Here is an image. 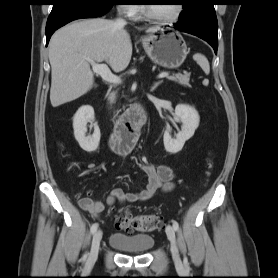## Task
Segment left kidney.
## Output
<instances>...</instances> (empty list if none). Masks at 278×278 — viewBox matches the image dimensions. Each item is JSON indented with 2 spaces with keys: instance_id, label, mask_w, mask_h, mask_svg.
Masks as SVG:
<instances>
[{
  "instance_id": "1",
  "label": "left kidney",
  "mask_w": 278,
  "mask_h": 278,
  "mask_svg": "<svg viewBox=\"0 0 278 278\" xmlns=\"http://www.w3.org/2000/svg\"><path fill=\"white\" fill-rule=\"evenodd\" d=\"M175 121L182 123L181 131L176 134L175 138H172L166 129L163 136L165 150L173 154L181 151L185 142L194 135L199 126L200 117L195 108L178 104L175 108Z\"/></svg>"
}]
</instances>
